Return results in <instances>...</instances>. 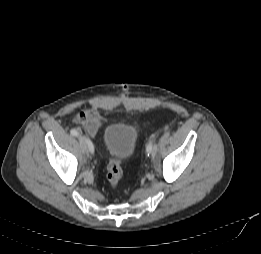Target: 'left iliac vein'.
Instances as JSON below:
<instances>
[{
    "label": "left iliac vein",
    "mask_w": 261,
    "mask_h": 254,
    "mask_svg": "<svg viewBox=\"0 0 261 254\" xmlns=\"http://www.w3.org/2000/svg\"><path fill=\"white\" fill-rule=\"evenodd\" d=\"M156 153H157V146L155 145V146L153 147V150H152L151 154H152V156H155Z\"/></svg>",
    "instance_id": "obj_1"
}]
</instances>
